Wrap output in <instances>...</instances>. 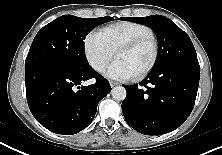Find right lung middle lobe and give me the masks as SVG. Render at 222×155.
<instances>
[{
    "mask_svg": "<svg viewBox=\"0 0 222 155\" xmlns=\"http://www.w3.org/2000/svg\"><path fill=\"white\" fill-rule=\"evenodd\" d=\"M112 17L80 18L63 15L42 27L28 52L26 79L50 69L75 70L89 65L84 51V39L96 26Z\"/></svg>",
    "mask_w": 222,
    "mask_h": 155,
    "instance_id": "1",
    "label": "right lung middle lobe"
}]
</instances>
